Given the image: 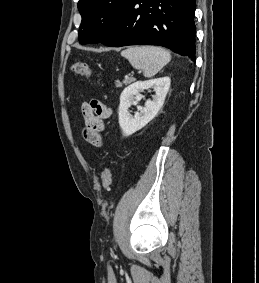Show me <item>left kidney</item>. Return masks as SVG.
<instances>
[{
	"label": "left kidney",
	"instance_id": "1",
	"mask_svg": "<svg viewBox=\"0 0 259 283\" xmlns=\"http://www.w3.org/2000/svg\"><path fill=\"white\" fill-rule=\"evenodd\" d=\"M170 83L169 77H162L148 81H137L123 90L120 96L118 116L124 136L128 137L134 134L156 117L163 106ZM151 88L155 91L153 100H147L144 107L137 106L139 112L131 116L129 113L131 105H137L138 101L143 98L141 92Z\"/></svg>",
	"mask_w": 259,
	"mask_h": 283
}]
</instances>
